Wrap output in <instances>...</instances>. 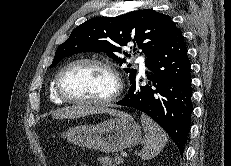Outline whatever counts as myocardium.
<instances>
[{
  "mask_svg": "<svg viewBox=\"0 0 231 166\" xmlns=\"http://www.w3.org/2000/svg\"><path fill=\"white\" fill-rule=\"evenodd\" d=\"M79 64H94L106 69L114 80V89L112 93L109 96L101 99H76L66 95L61 87V77L67 69ZM54 87L57 95L64 102L82 106H107L117 101V99L120 97L122 92V81L118 71L110 62L100 58L85 57L75 59L64 65L55 76Z\"/></svg>",
  "mask_w": 231,
  "mask_h": 166,
  "instance_id": "1",
  "label": "myocardium"
}]
</instances>
